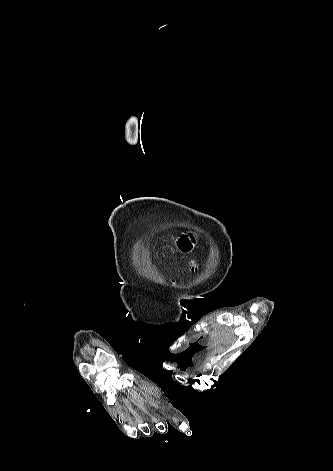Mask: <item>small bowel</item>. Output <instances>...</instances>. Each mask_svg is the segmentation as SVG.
<instances>
[{
  "instance_id": "c3829d8e",
  "label": "small bowel",
  "mask_w": 333,
  "mask_h": 471,
  "mask_svg": "<svg viewBox=\"0 0 333 471\" xmlns=\"http://www.w3.org/2000/svg\"><path fill=\"white\" fill-rule=\"evenodd\" d=\"M191 241L186 238L181 241L180 247L182 248L183 251H188L190 249Z\"/></svg>"
}]
</instances>
